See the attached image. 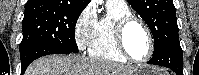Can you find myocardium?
<instances>
[{"instance_id": "1", "label": "myocardium", "mask_w": 199, "mask_h": 75, "mask_svg": "<svg viewBox=\"0 0 199 75\" xmlns=\"http://www.w3.org/2000/svg\"><path fill=\"white\" fill-rule=\"evenodd\" d=\"M133 23L139 24L144 29V31L147 35V38H148L149 51H148L147 55L142 59L133 58L126 48L125 33H126L127 28ZM113 34H114V38H115L117 48L119 49L121 54L128 61H131V62H134V63H145L151 58V56L154 52V39H153L150 28L141 18L133 16V15H128V16L120 18L114 24Z\"/></svg>"}]
</instances>
